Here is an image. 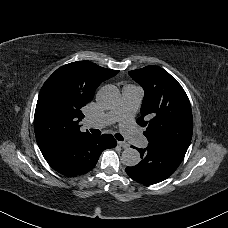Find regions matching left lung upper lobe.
I'll return each instance as SVG.
<instances>
[{"label": "left lung upper lobe", "instance_id": "5c2ea615", "mask_svg": "<svg viewBox=\"0 0 228 228\" xmlns=\"http://www.w3.org/2000/svg\"><path fill=\"white\" fill-rule=\"evenodd\" d=\"M145 92L137 123L146 127L148 142L186 152L192 138L193 120L189 99L179 82L159 66L129 71Z\"/></svg>", "mask_w": 228, "mask_h": 228}]
</instances>
